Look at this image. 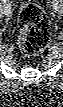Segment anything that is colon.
<instances>
[{"mask_svg":"<svg viewBox=\"0 0 63 107\" xmlns=\"http://www.w3.org/2000/svg\"><path fill=\"white\" fill-rule=\"evenodd\" d=\"M20 32L18 45L27 57H35L46 47L50 30L49 21L41 7L35 3H23L19 11Z\"/></svg>","mask_w":63,"mask_h":107,"instance_id":"colon-1","label":"colon"}]
</instances>
